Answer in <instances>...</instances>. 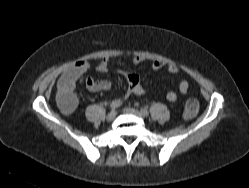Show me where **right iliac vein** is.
<instances>
[{"mask_svg":"<svg viewBox=\"0 0 249 188\" xmlns=\"http://www.w3.org/2000/svg\"><path fill=\"white\" fill-rule=\"evenodd\" d=\"M116 114H117V112H116L115 110L110 111V112L108 113L107 117H106V120H107L108 122L113 121V120L115 119V117H116Z\"/></svg>","mask_w":249,"mask_h":188,"instance_id":"63e3f726","label":"right iliac vein"}]
</instances>
